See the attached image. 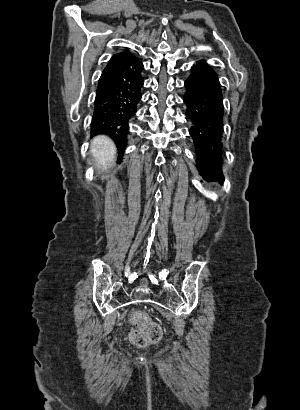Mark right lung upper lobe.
Returning <instances> with one entry per match:
<instances>
[{
  "label": "right lung upper lobe",
  "instance_id": "1",
  "mask_svg": "<svg viewBox=\"0 0 300 410\" xmlns=\"http://www.w3.org/2000/svg\"><path fill=\"white\" fill-rule=\"evenodd\" d=\"M135 57L132 53L128 50L122 51L120 53L115 54L109 61L108 65L117 61H121L124 59Z\"/></svg>",
  "mask_w": 300,
  "mask_h": 410
}]
</instances>
